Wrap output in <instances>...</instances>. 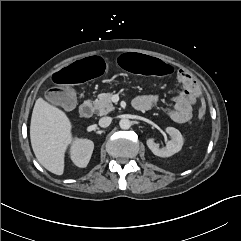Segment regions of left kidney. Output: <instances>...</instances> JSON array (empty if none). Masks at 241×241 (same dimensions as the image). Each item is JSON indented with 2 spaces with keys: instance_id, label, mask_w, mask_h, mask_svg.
Wrapping results in <instances>:
<instances>
[{
  "instance_id": "obj_1",
  "label": "left kidney",
  "mask_w": 241,
  "mask_h": 241,
  "mask_svg": "<svg viewBox=\"0 0 241 241\" xmlns=\"http://www.w3.org/2000/svg\"><path fill=\"white\" fill-rule=\"evenodd\" d=\"M166 132L169 134V140L164 148H159L153 138L146 141L148 148L152 153L159 157H170L179 152L183 146V137L179 130L173 127H167Z\"/></svg>"
}]
</instances>
